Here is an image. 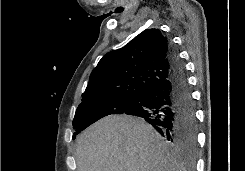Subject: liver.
I'll return each instance as SVG.
<instances>
[{
  "label": "liver",
  "mask_w": 245,
  "mask_h": 171,
  "mask_svg": "<svg viewBox=\"0 0 245 171\" xmlns=\"http://www.w3.org/2000/svg\"><path fill=\"white\" fill-rule=\"evenodd\" d=\"M78 171H186L161 136L141 119L105 117L77 139Z\"/></svg>",
  "instance_id": "1"
}]
</instances>
